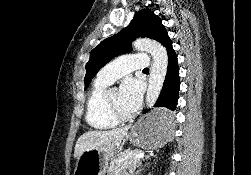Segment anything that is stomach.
<instances>
[{"mask_svg":"<svg viewBox=\"0 0 251 175\" xmlns=\"http://www.w3.org/2000/svg\"><path fill=\"white\" fill-rule=\"evenodd\" d=\"M173 117L168 109H155L148 115H143L134 125H131L126 139L138 147H156L168 140L172 134ZM119 145L112 149H83L76 161L74 175H105L110 159L117 157Z\"/></svg>","mask_w":251,"mask_h":175,"instance_id":"obj_1","label":"stomach"}]
</instances>
